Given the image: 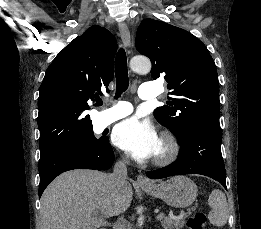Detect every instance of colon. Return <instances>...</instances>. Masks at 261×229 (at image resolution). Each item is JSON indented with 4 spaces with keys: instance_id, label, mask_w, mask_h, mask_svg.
<instances>
[{
    "instance_id": "colon-1",
    "label": "colon",
    "mask_w": 261,
    "mask_h": 229,
    "mask_svg": "<svg viewBox=\"0 0 261 229\" xmlns=\"http://www.w3.org/2000/svg\"><path fill=\"white\" fill-rule=\"evenodd\" d=\"M208 217L205 212L197 211L191 215L187 222V229H205L207 225Z\"/></svg>"
}]
</instances>
